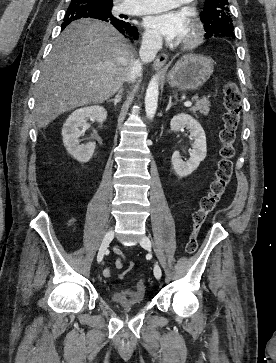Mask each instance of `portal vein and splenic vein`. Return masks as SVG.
Returning <instances> with one entry per match:
<instances>
[{
    "mask_svg": "<svg viewBox=\"0 0 276 363\" xmlns=\"http://www.w3.org/2000/svg\"><path fill=\"white\" fill-rule=\"evenodd\" d=\"M192 105V103L190 102V101H186L185 103H184V106H186V107H190Z\"/></svg>",
    "mask_w": 276,
    "mask_h": 363,
    "instance_id": "18ae733b",
    "label": "portal vein and splenic vein"
}]
</instances>
